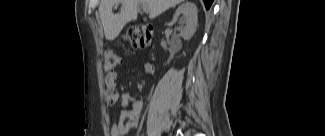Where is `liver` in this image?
<instances>
[{"instance_id": "obj_1", "label": "liver", "mask_w": 325, "mask_h": 136, "mask_svg": "<svg viewBox=\"0 0 325 136\" xmlns=\"http://www.w3.org/2000/svg\"><path fill=\"white\" fill-rule=\"evenodd\" d=\"M183 0H101L99 6L100 19L107 40H114L126 23L137 19V7L139 3L147 5L149 18L154 19L170 7L179 4ZM121 4L120 13L114 14L112 8L115 4Z\"/></svg>"}]
</instances>
